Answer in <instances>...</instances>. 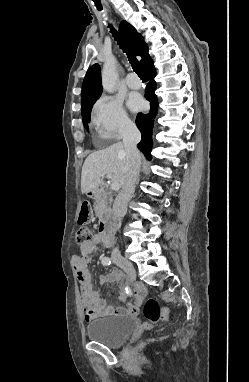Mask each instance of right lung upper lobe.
Listing matches in <instances>:
<instances>
[{"mask_svg": "<svg viewBox=\"0 0 249 382\" xmlns=\"http://www.w3.org/2000/svg\"><path fill=\"white\" fill-rule=\"evenodd\" d=\"M119 31L127 42L129 48L135 55L141 56V65L144 67L151 60L148 54L147 44L143 37L135 28L126 21H121ZM101 69L98 64L92 65L86 73L82 85L81 93V111H85L93 102H95L102 93Z\"/></svg>", "mask_w": 249, "mask_h": 382, "instance_id": "cb5924a9", "label": "right lung upper lobe"}]
</instances>
